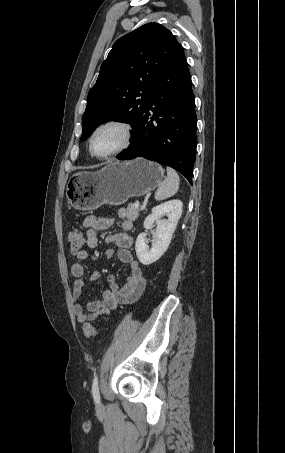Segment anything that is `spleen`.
<instances>
[{"mask_svg": "<svg viewBox=\"0 0 285 453\" xmlns=\"http://www.w3.org/2000/svg\"><path fill=\"white\" fill-rule=\"evenodd\" d=\"M179 176L175 170L172 168L167 167V177L165 180L158 186V189L155 193L156 200H164L167 199L174 194L179 189Z\"/></svg>", "mask_w": 285, "mask_h": 453, "instance_id": "spleen-1", "label": "spleen"}]
</instances>
